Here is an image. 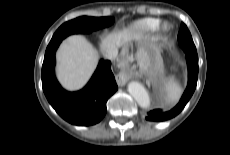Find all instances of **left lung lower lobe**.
Wrapping results in <instances>:
<instances>
[{"mask_svg":"<svg viewBox=\"0 0 230 155\" xmlns=\"http://www.w3.org/2000/svg\"><path fill=\"white\" fill-rule=\"evenodd\" d=\"M183 50L186 53L188 65V85L180 102L170 111L163 112L160 109L150 111L146 116V120L160 122L175 117L184 109L185 105L193 95L198 79V55L196 47H186Z\"/></svg>","mask_w":230,"mask_h":155,"instance_id":"0a47b994","label":"left lung lower lobe"}]
</instances>
